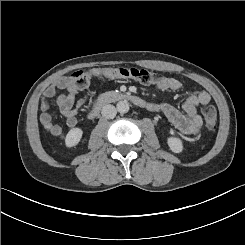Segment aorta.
Here are the masks:
<instances>
[{"label": "aorta", "instance_id": "762f6f07", "mask_svg": "<svg viewBox=\"0 0 245 245\" xmlns=\"http://www.w3.org/2000/svg\"><path fill=\"white\" fill-rule=\"evenodd\" d=\"M117 111L121 114L127 113L129 111V103L124 101H119L116 105Z\"/></svg>", "mask_w": 245, "mask_h": 245}]
</instances>
